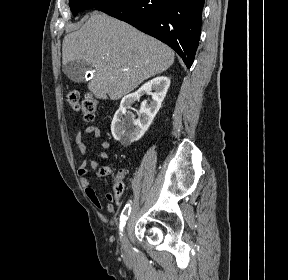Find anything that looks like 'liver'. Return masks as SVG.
Listing matches in <instances>:
<instances>
[{
    "label": "liver",
    "mask_w": 288,
    "mask_h": 280,
    "mask_svg": "<svg viewBox=\"0 0 288 280\" xmlns=\"http://www.w3.org/2000/svg\"><path fill=\"white\" fill-rule=\"evenodd\" d=\"M74 60L95 69L87 86L96 97L118 100L171 67L174 52L131 25L94 11L79 30L63 39L62 63Z\"/></svg>",
    "instance_id": "1"
}]
</instances>
